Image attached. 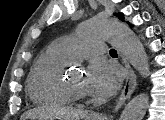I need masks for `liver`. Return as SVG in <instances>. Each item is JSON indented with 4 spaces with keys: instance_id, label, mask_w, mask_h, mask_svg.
Masks as SVG:
<instances>
[{
    "instance_id": "obj_1",
    "label": "liver",
    "mask_w": 165,
    "mask_h": 120,
    "mask_svg": "<svg viewBox=\"0 0 165 120\" xmlns=\"http://www.w3.org/2000/svg\"><path fill=\"white\" fill-rule=\"evenodd\" d=\"M87 116V112L75 110L72 108H52L45 110L43 108H35L25 112L21 119H35V118H57L60 120H82Z\"/></svg>"
}]
</instances>
